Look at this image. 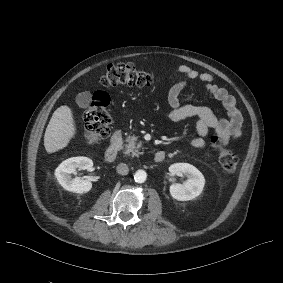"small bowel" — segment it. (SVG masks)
<instances>
[{"label": "small bowel", "instance_id": "c3829d8e", "mask_svg": "<svg viewBox=\"0 0 283 283\" xmlns=\"http://www.w3.org/2000/svg\"><path fill=\"white\" fill-rule=\"evenodd\" d=\"M177 70L183 78L174 83L168 91L167 99L172 108L169 119L175 123L188 118L197 119L195 125L197 136L190 140V145L194 148L204 147L210 131H214L224 143L239 138L243 131V118L235 98L228 90L218 86L209 73H201L184 64L179 65ZM190 81L201 82L204 89L223 104L226 111L225 117H217L209 107L204 105L182 103L181 93Z\"/></svg>", "mask_w": 283, "mask_h": 283}]
</instances>
